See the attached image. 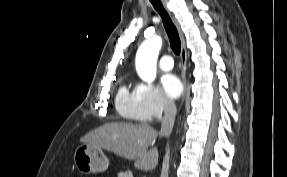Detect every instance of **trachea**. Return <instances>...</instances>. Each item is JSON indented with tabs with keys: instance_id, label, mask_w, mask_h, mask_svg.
Masks as SVG:
<instances>
[{
	"instance_id": "3493384b",
	"label": "trachea",
	"mask_w": 287,
	"mask_h": 177,
	"mask_svg": "<svg viewBox=\"0 0 287 177\" xmlns=\"http://www.w3.org/2000/svg\"><path fill=\"white\" fill-rule=\"evenodd\" d=\"M150 2L152 3L153 7L157 10V12L160 14V16L162 18V22H163L164 28L166 30V33L168 35V38L170 41V46H171L173 52L176 55H179L181 52V41H180V37H179L178 31H177V28L173 24L170 16L168 15L166 10L164 9L160 0H150Z\"/></svg>"
}]
</instances>
